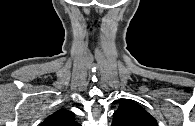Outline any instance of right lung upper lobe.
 <instances>
[{"label":"right lung upper lobe","mask_w":195,"mask_h":126,"mask_svg":"<svg viewBox=\"0 0 195 126\" xmlns=\"http://www.w3.org/2000/svg\"><path fill=\"white\" fill-rule=\"evenodd\" d=\"M41 126H79V124L75 121L73 112L59 109L48 116Z\"/></svg>","instance_id":"right-lung-upper-lobe-1"}]
</instances>
